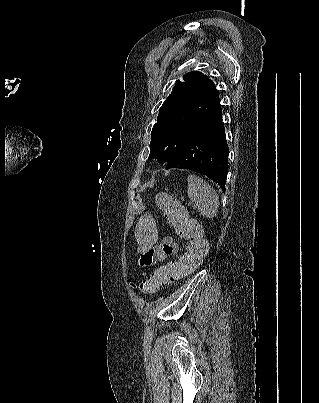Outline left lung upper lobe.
<instances>
[{
    "label": "left lung upper lobe",
    "instance_id": "left-lung-upper-lobe-1",
    "mask_svg": "<svg viewBox=\"0 0 319 403\" xmlns=\"http://www.w3.org/2000/svg\"><path fill=\"white\" fill-rule=\"evenodd\" d=\"M176 81L153 126L149 159L167 164L184 144L192 127L219 96L214 83L198 71Z\"/></svg>",
    "mask_w": 319,
    "mask_h": 403
}]
</instances>
